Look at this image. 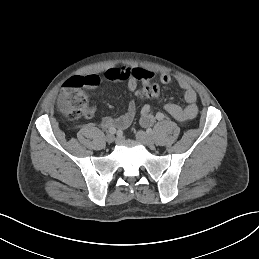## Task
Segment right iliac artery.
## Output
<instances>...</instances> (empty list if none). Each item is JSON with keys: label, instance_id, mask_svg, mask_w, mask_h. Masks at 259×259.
I'll return each instance as SVG.
<instances>
[{"label": "right iliac artery", "instance_id": "1", "mask_svg": "<svg viewBox=\"0 0 259 259\" xmlns=\"http://www.w3.org/2000/svg\"><path fill=\"white\" fill-rule=\"evenodd\" d=\"M108 131L111 134H115L116 133V129L114 127H109Z\"/></svg>", "mask_w": 259, "mask_h": 259}]
</instances>
